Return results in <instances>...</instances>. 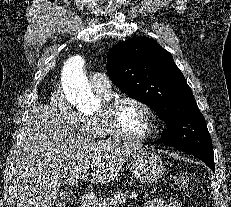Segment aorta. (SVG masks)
Wrapping results in <instances>:
<instances>
[{"instance_id": "1", "label": "aorta", "mask_w": 231, "mask_h": 207, "mask_svg": "<svg viewBox=\"0 0 231 207\" xmlns=\"http://www.w3.org/2000/svg\"><path fill=\"white\" fill-rule=\"evenodd\" d=\"M83 68L82 56L69 58L62 70V88L67 101L78 110L95 109L100 101L91 91Z\"/></svg>"}]
</instances>
